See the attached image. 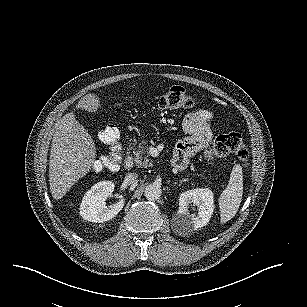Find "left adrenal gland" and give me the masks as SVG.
<instances>
[{"label":"left adrenal gland","instance_id":"1","mask_svg":"<svg viewBox=\"0 0 307 307\" xmlns=\"http://www.w3.org/2000/svg\"><path fill=\"white\" fill-rule=\"evenodd\" d=\"M186 181H188V179H187V178H186V179H182V180L180 181L179 186H181L182 182H186Z\"/></svg>","mask_w":307,"mask_h":307}]
</instances>
